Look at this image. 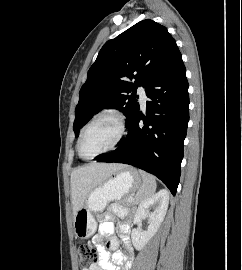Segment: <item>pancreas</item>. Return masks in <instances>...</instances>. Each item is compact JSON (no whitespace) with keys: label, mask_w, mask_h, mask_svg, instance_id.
<instances>
[{"label":"pancreas","mask_w":242,"mask_h":270,"mask_svg":"<svg viewBox=\"0 0 242 270\" xmlns=\"http://www.w3.org/2000/svg\"><path fill=\"white\" fill-rule=\"evenodd\" d=\"M124 203H125L126 205H132V204H134V202L132 201L131 197L127 198V199L124 201Z\"/></svg>","instance_id":"1"}]
</instances>
